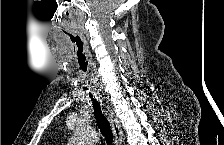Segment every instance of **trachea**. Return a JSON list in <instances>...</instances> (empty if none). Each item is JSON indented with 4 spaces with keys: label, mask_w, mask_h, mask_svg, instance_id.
I'll list each match as a JSON object with an SVG mask.
<instances>
[{
    "label": "trachea",
    "mask_w": 224,
    "mask_h": 145,
    "mask_svg": "<svg viewBox=\"0 0 224 145\" xmlns=\"http://www.w3.org/2000/svg\"><path fill=\"white\" fill-rule=\"evenodd\" d=\"M78 55L81 56L82 52L79 51ZM79 65H80L81 76H83V78H87L86 75L88 72V64H87V62H85V59L80 58ZM85 89L88 90V87H85ZM89 97L91 98V101L93 103V107L95 110V118H96L98 127H99L102 135L104 136L107 144L112 145L114 136L111 131L110 124H109L107 118L105 117V115L102 113V110H101L99 104L97 103V101H95L92 98L91 92H89Z\"/></svg>",
    "instance_id": "obj_1"
}]
</instances>
